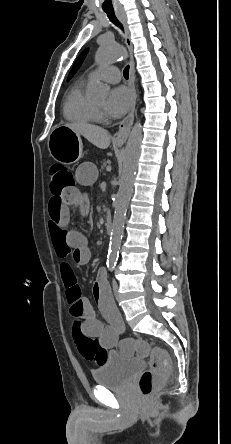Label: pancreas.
I'll return each instance as SVG.
<instances>
[{"instance_id": "cf45deb5", "label": "pancreas", "mask_w": 231, "mask_h": 444, "mask_svg": "<svg viewBox=\"0 0 231 444\" xmlns=\"http://www.w3.org/2000/svg\"><path fill=\"white\" fill-rule=\"evenodd\" d=\"M109 166H110V161H108V160H103V161L101 162V169H100V171L103 172V171L106 170Z\"/></svg>"}]
</instances>
